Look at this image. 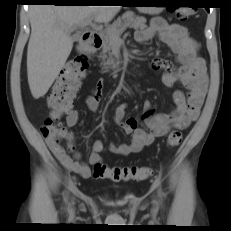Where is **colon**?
<instances>
[{"label": "colon", "instance_id": "obj_1", "mask_svg": "<svg viewBox=\"0 0 231 231\" xmlns=\"http://www.w3.org/2000/svg\"><path fill=\"white\" fill-rule=\"evenodd\" d=\"M190 14L188 9H177L176 18L185 21ZM88 61L85 56H77L70 59L60 72L54 82L51 92L48 95L47 103L51 109L49 118L44 121L41 129L45 138H52L57 144L61 140H70L68 130L55 124L64 114H67L71 108L75 95L80 87L82 79L86 75ZM182 135L179 130L170 132L167 138V147L170 150L175 149L181 143ZM151 174L147 167L126 166V167H108L106 164L97 162L93 166V176L98 179H110L115 182L129 180H145Z\"/></svg>", "mask_w": 231, "mask_h": 231}]
</instances>
